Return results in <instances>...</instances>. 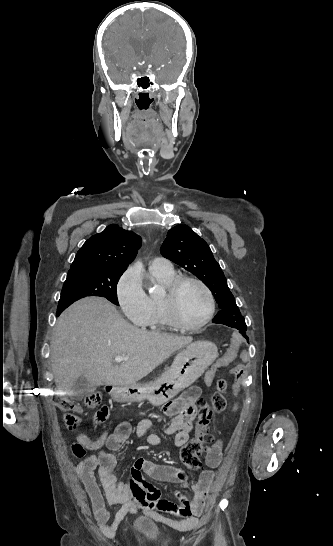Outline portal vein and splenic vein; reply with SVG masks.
<instances>
[{
  "mask_svg": "<svg viewBox=\"0 0 333 546\" xmlns=\"http://www.w3.org/2000/svg\"><path fill=\"white\" fill-rule=\"evenodd\" d=\"M128 359H129L128 356L124 357V356L117 355V356H115L114 360H115V362L120 363V362L127 361Z\"/></svg>",
  "mask_w": 333,
  "mask_h": 546,
  "instance_id": "1",
  "label": "portal vein and splenic vein"
}]
</instances>
